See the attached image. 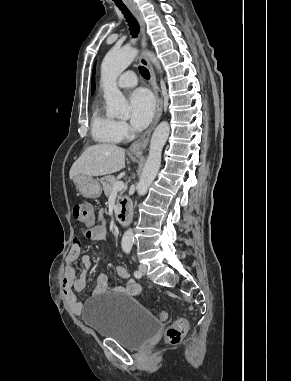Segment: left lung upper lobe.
<instances>
[{
  "instance_id": "left-lung-upper-lobe-1",
  "label": "left lung upper lobe",
  "mask_w": 291,
  "mask_h": 381,
  "mask_svg": "<svg viewBox=\"0 0 291 381\" xmlns=\"http://www.w3.org/2000/svg\"><path fill=\"white\" fill-rule=\"evenodd\" d=\"M94 74H95V72L93 71V77H92V94H93L94 91H95Z\"/></svg>"
}]
</instances>
